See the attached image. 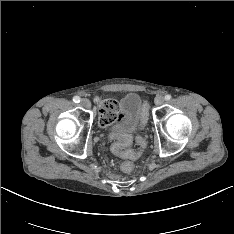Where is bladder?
Wrapping results in <instances>:
<instances>
[{
    "instance_id": "31cf9c89",
    "label": "bladder",
    "mask_w": 234,
    "mask_h": 234,
    "mask_svg": "<svg viewBox=\"0 0 234 234\" xmlns=\"http://www.w3.org/2000/svg\"><path fill=\"white\" fill-rule=\"evenodd\" d=\"M147 115L138 93L130 92L120 100L118 119L112 127L113 133L131 135L144 129Z\"/></svg>"
}]
</instances>
